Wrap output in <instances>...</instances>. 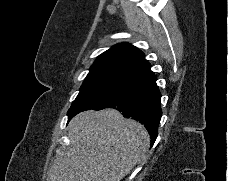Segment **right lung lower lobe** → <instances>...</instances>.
<instances>
[{"instance_id":"1","label":"right lung lower lobe","mask_w":228,"mask_h":181,"mask_svg":"<svg viewBox=\"0 0 228 181\" xmlns=\"http://www.w3.org/2000/svg\"><path fill=\"white\" fill-rule=\"evenodd\" d=\"M156 76L148 71L130 81L114 98L92 109L114 108L126 118L139 121L150 134L151 146L158 135V125L162 115L161 94L156 85Z\"/></svg>"}]
</instances>
